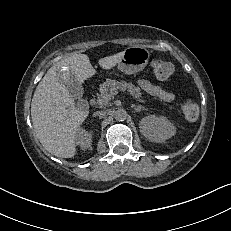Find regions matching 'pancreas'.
<instances>
[{
  "mask_svg": "<svg viewBox=\"0 0 231 231\" xmlns=\"http://www.w3.org/2000/svg\"><path fill=\"white\" fill-rule=\"evenodd\" d=\"M128 91L130 95L133 96L137 101L144 102L141 98V91L138 87H135L132 83H127L126 81H116L112 79H107L104 83L100 85L99 91L100 96H110V93L114 90ZM111 97V96H110ZM110 100V99H109ZM108 100V102H109ZM104 103L102 105H108Z\"/></svg>",
  "mask_w": 231,
  "mask_h": 231,
  "instance_id": "1",
  "label": "pancreas"
}]
</instances>
